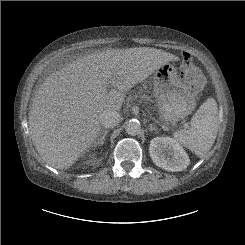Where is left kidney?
Instances as JSON below:
<instances>
[{"instance_id": "obj_1", "label": "left kidney", "mask_w": 245, "mask_h": 245, "mask_svg": "<svg viewBox=\"0 0 245 245\" xmlns=\"http://www.w3.org/2000/svg\"><path fill=\"white\" fill-rule=\"evenodd\" d=\"M149 153L153 162L167 171H182L190 163L186 151L170 137L153 138L150 142Z\"/></svg>"}]
</instances>
